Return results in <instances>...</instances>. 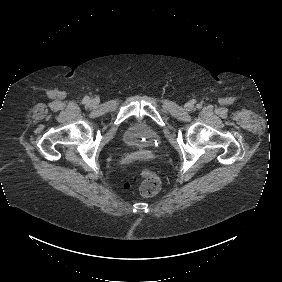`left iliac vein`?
I'll return each mask as SVG.
<instances>
[{"instance_id": "1", "label": "left iliac vein", "mask_w": 282, "mask_h": 282, "mask_svg": "<svg viewBox=\"0 0 282 282\" xmlns=\"http://www.w3.org/2000/svg\"><path fill=\"white\" fill-rule=\"evenodd\" d=\"M191 107H192V105H191L190 103H188V104L185 105V109H186V110H190Z\"/></svg>"}]
</instances>
